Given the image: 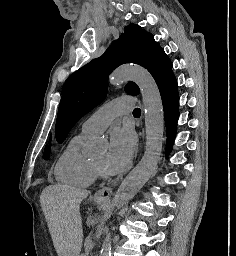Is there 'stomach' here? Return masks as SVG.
Segmentation results:
<instances>
[{
    "label": "stomach",
    "mask_w": 236,
    "mask_h": 256,
    "mask_svg": "<svg viewBox=\"0 0 236 256\" xmlns=\"http://www.w3.org/2000/svg\"><path fill=\"white\" fill-rule=\"evenodd\" d=\"M98 203H101L102 201H97ZM79 256H83V255H79Z\"/></svg>",
    "instance_id": "1"
}]
</instances>
